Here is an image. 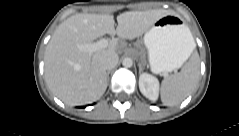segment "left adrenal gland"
<instances>
[{"label":"left adrenal gland","instance_id":"1","mask_svg":"<svg viewBox=\"0 0 239 136\" xmlns=\"http://www.w3.org/2000/svg\"><path fill=\"white\" fill-rule=\"evenodd\" d=\"M139 66V73H141L142 69H143V65L141 64V62L138 64Z\"/></svg>","mask_w":239,"mask_h":136}]
</instances>
